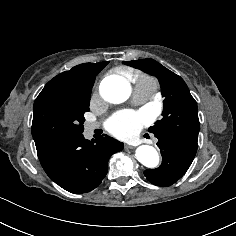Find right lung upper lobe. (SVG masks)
Wrapping results in <instances>:
<instances>
[{"mask_svg":"<svg viewBox=\"0 0 236 236\" xmlns=\"http://www.w3.org/2000/svg\"><path fill=\"white\" fill-rule=\"evenodd\" d=\"M108 64L83 63L65 71L51 79L43 88L38 97L57 96L64 98L90 97L95 76Z\"/></svg>","mask_w":236,"mask_h":236,"instance_id":"right-lung-upper-lobe-1","label":"right lung upper lobe"}]
</instances>
